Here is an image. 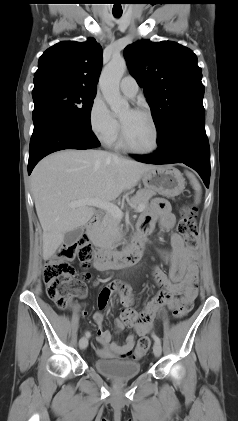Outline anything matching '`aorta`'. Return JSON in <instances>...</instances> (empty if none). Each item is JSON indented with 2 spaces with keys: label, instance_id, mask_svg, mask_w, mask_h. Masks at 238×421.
I'll list each match as a JSON object with an SVG mask.
<instances>
[{
  "label": "aorta",
  "instance_id": "762f6f07",
  "mask_svg": "<svg viewBox=\"0 0 238 421\" xmlns=\"http://www.w3.org/2000/svg\"><path fill=\"white\" fill-rule=\"evenodd\" d=\"M126 69V61L123 58H113L106 65L100 77L102 94L115 113H119L129 107L128 102L121 97L119 90L120 80Z\"/></svg>",
  "mask_w": 238,
  "mask_h": 421
}]
</instances>
